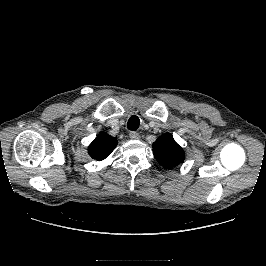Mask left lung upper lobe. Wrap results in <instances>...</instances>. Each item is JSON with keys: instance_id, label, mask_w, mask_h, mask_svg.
I'll return each mask as SVG.
<instances>
[{"instance_id": "1", "label": "left lung upper lobe", "mask_w": 266, "mask_h": 266, "mask_svg": "<svg viewBox=\"0 0 266 266\" xmlns=\"http://www.w3.org/2000/svg\"><path fill=\"white\" fill-rule=\"evenodd\" d=\"M153 154L164 168L171 169L184 161L185 153L171 134H164L153 143Z\"/></svg>"}]
</instances>
